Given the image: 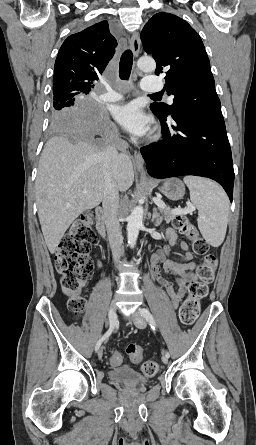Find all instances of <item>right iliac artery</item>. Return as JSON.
<instances>
[{
    "label": "right iliac artery",
    "instance_id": "82829eb1",
    "mask_svg": "<svg viewBox=\"0 0 256 445\" xmlns=\"http://www.w3.org/2000/svg\"><path fill=\"white\" fill-rule=\"evenodd\" d=\"M117 324L116 315L110 320V327L106 331V333L98 340L95 346V350L98 351L103 341H105L113 332L115 326Z\"/></svg>",
    "mask_w": 256,
    "mask_h": 445
}]
</instances>
